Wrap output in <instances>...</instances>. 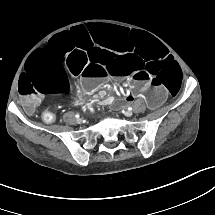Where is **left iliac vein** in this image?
Segmentation results:
<instances>
[{
	"mask_svg": "<svg viewBox=\"0 0 215 215\" xmlns=\"http://www.w3.org/2000/svg\"><path fill=\"white\" fill-rule=\"evenodd\" d=\"M124 115L127 116V117H131V116H133V112L128 110V111L124 112Z\"/></svg>",
	"mask_w": 215,
	"mask_h": 215,
	"instance_id": "left-iliac-vein-1",
	"label": "left iliac vein"
}]
</instances>
